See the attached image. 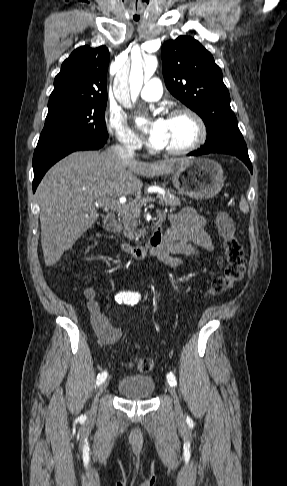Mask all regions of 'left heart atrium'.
<instances>
[{
	"instance_id": "left-heart-atrium-1",
	"label": "left heart atrium",
	"mask_w": 287,
	"mask_h": 486,
	"mask_svg": "<svg viewBox=\"0 0 287 486\" xmlns=\"http://www.w3.org/2000/svg\"><path fill=\"white\" fill-rule=\"evenodd\" d=\"M137 126L147 131V139L150 146L162 148L166 131V120L159 118L150 121L144 117L137 119Z\"/></svg>"
}]
</instances>
